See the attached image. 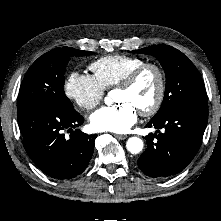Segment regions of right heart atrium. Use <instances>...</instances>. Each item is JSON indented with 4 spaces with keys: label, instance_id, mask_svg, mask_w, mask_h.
Here are the masks:
<instances>
[{
    "label": "right heart atrium",
    "instance_id": "1",
    "mask_svg": "<svg viewBox=\"0 0 221 221\" xmlns=\"http://www.w3.org/2000/svg\"><path fill=\"white\" fill-rule=\"evenodd\" d=\"M64 91L79 108L90 111L100 104L105 89L93 75L71 72L64 82Z\"/></svg>",
    "mask_w": 221,
    "mask_h": 221
}]
</instances>
